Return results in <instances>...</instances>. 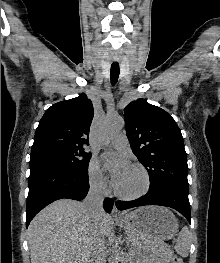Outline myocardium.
Here are the masks:
<instances>
[{
  "mask_svg": "<svg viewBox=\"0 0 220 263\" xmlns=\"http://www.w3.org/2000/svg\"><path fill=\"white\" fill-rule=\"evenodd\" d=\"M132 167H135V168H138L143 176H144V186L142 188L141 191L139 192H136V193H133V194H126V193H123L121 192L120 190H118V188L116 187V185L114 184L113 185V190H114V193L117 197L123 199V200H136V199H139L143 196H145L149 189H150V186H151V178H150V174L148 172V170L146 169V167L144 165H142L141 163L139 162H134L131 164Z\"/></svg>",
  "mask_w": 220,
  "mask_h": 263,
  "instance_id": "1",
  "label": "myocardium"
}]
</instances>
